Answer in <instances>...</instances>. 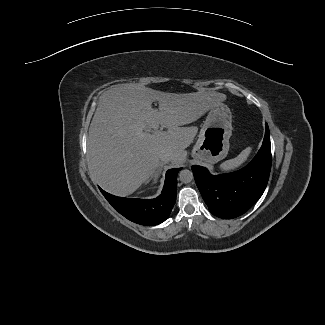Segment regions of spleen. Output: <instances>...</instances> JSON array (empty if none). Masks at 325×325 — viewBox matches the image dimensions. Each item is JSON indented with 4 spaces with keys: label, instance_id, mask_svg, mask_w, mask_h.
I'll return each mask as SVG.
<instances>
[{
    "label": "spleen",
    "instance_id": "obj_1",
    "mask_svg": "<svg viewBox=\"0 0 325 325\" xmlns=\"http://www.w3.org/2000/svg\"><path fill=\"white\" fill-rule=\"evenodd\" d=\"M251 151L252 147H247L237 157L223 162L220 165L221 171L230 172L232 170L237 169L248 159L249 155L251 154Z\"/></svg>",
    "mask_w": 325,
    "mask_h": 325
}]
</instances>
